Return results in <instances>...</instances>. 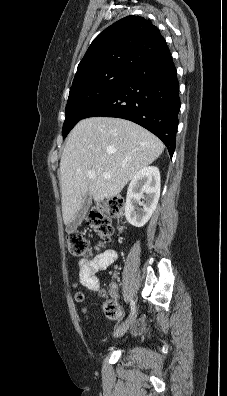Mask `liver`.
<instances>
[{
	"label": "liver",
	"instance_id": "obj_1",
	"mask_svg": "<svg viewBox=\"0 0 227 396\" xmlns=\"http://www.w3.org/2000/svg\"><path fill=\"white\" fill-rule=\"evenodd\" d=\"M163 150L159 138L131 121L100 116L82 119L70 132L60 160L64 224L75 216L85 195L97 202L118 195ZM90 170L95 178L87 176Z\"/></svg>",
	"mask_w": 227,
	"mask_h": 396
}]
</instances>
